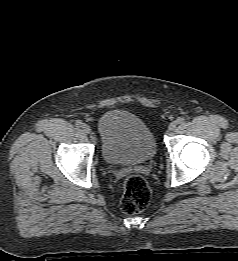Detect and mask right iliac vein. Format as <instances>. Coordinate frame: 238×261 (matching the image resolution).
<instances>
[{"instance_id":"63e3f726","label":"right iliac vein","mask_w":238,"mask_h":261,"mask_svg":"<svg viewBox=\"0 0 238 261\" xmlns=\"http://www.w3.org/2000/svg\"><path fill=\"white\" fill-rule=\"evenodd\" d=\"M82 130H83V132L86 133V134H89V133L91 132V128H90V126L87 125V124H83V125H82Z\"/></svg>"}]
</instances>
